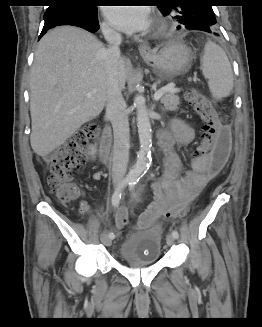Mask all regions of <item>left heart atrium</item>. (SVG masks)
<instances>
[{
  "instance_id": "left-heart-atrium-1",
  "label": "left heart atrium",
  "mask_w": 262,
  "mask_h": 327,
  "mask_svg": "<svg viewBox=\"0 0 262 327\" xmlns=\"http://www.w3.org/2000/svg\"><path fill=\"white\" fill-rule=\"evenodd\" d=\"M107 19L124 32H138L150 25V13L142 5H114L105 9Z\"/></svg>"
}]
</instances>
